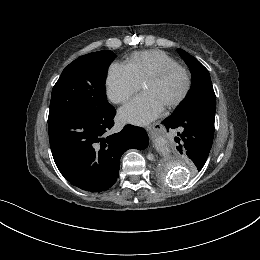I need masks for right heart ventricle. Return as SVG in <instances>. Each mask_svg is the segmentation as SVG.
I'll return each mask as SVG.
<instances>
[{
    "mask_svg": "<svg viewBox=\"0 0 260 260\" xmlns=\"http://www.w3.org/2000/svg\"><path fill=\"white\" fill-rule=\"evenodd\" d=\"M179 65L178 61L160 50H144L133 53L126 62V67L134 79L142 84L144 81L159 70Z\"/></svg>",
    "mask_w": 260,
    "mask_h": 260,
    "instance_id": "obj_1",
    "label": "right heart ventricle"
}]
</instances>
